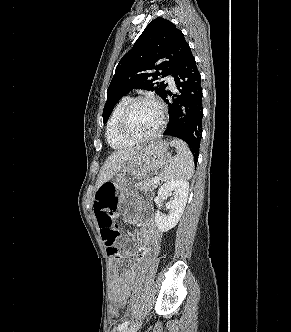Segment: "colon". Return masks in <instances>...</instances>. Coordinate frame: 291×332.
<instances>
[{"label":"colon","instance_id":"1","mask_svg":"<svg viewBox=\"0 0 291 332\" xmlns=\"http://www.w3.org/2000/svg\"><path fill=\"white\" fill-rule=\"evenodd\" d=\"M95 207L101 236L107 253L112 258H118L117 239L119 231L115 221L117 204L114 190L106 189L101 191L95 199ZM118 315V310L112 307L110 309V318L115 320Z\"/></svg>","mask_w":291,"mask_h":332}]
</instances>
